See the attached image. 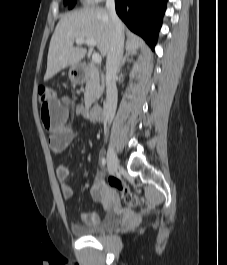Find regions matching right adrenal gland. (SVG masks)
Here are the masks:
<instances>
[{"label":"right adrenal gland","mask_w":227,"mask_h":265,"mask_svg":"<svg viewBox=\"0 0 227 265\" xmlns=\"http://www.w3.org/2000/svg\"><path fill=\"white\" fill-rule=\"evenodd\" d=\"M134 55L135 53L126 52L125 55L122 57L118 71H120L121 67L124 65L126 61L131 62Z\"/></svg>","instance_id":"2a0ac1e0"}]
</instances>
